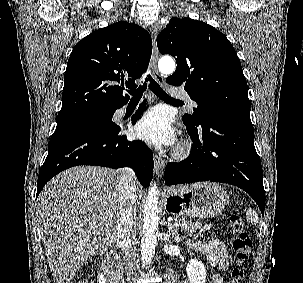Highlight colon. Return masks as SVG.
I'll return each mask as SVG.
<instances>
[{
    "label": "colon",
    "instance_id": "colon-1",
    "mask_svg": "<svg viewBox=\"0 0 303 283\" xmlns=\"http://www.w3.org/2000/svg\"><path fill=\"white\" fill-rule=\"evenodd\" d=\"M229 230L232 235V248L236 256V266L231 271L229 283H243L245 266L252 250V242L242 218L232 214L229 218ZM76 283H89L87 278H80Z\"/></svg>",
    "mask_w": 303,
    "mask_h": 283
}]
</instances>
